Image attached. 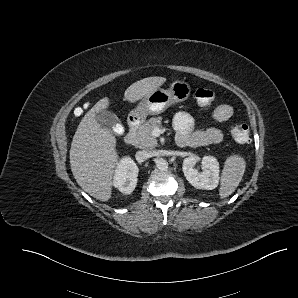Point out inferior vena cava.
Segmentation results:
<instances>
[{
  "label": "inferior vena cava",
  "mask_w": 298,
  "mask_h": 298,
  "mask_svg": "<svg viewBox=\"0 0 298 298\" xmlns=\"http://www.w3.org/2000/svg\"><path fill=\"white\" fill-rule=\"evenodd\" d=\"M152 155H153V152L150 150H140L136 152L135 157L138 162H143L148 158L152 157Z\"/></svg>",
  "instance_id": "obj_1"
}]
</instances>
